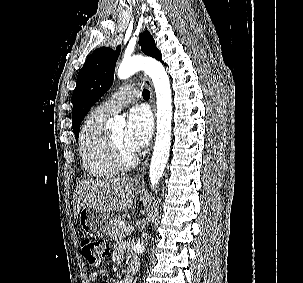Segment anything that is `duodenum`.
I'll return each instance as SVG.
<instances>
[{
  "label": "duodenum",
  "mask_w": 303,
  "mask_h": 283,
  "mask_svg": "<svg viewBox=\"0 0 303 283\" xmlns=\"http://www.w3.org/2000/svg\"><path fill=\"white\" fill-rule=\"evenodd\" d=\"M138 269H139V262L136 259L131 260L127 267L128 278L130 279V276L137 273Z\"/></svg>",
  "instance_id": "1"
}]
</instances>
